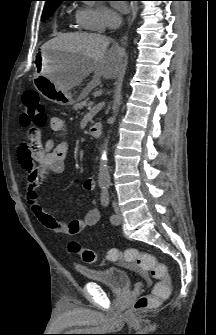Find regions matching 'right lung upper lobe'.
Returning a JSON list of instances; mask_svg holds the SVG:
<instances>
[{
  "mask_svg": "<svg viewBox=\"0 0 216 335\" xmlns=\"http://www.w3.org/2000/svg\"><path fill=\"white\" fill-rule=\"evenodd\" d=\"M45 1H46L45 6H47V5H53V4L61 3L62 1H65V0H45Z\"/></svg>",
  "mask_w": 216,
  "mask_h": 335,
  "instance_id": "obj_1",
  "label": "right lung upper lobe"
}]
</instances>
